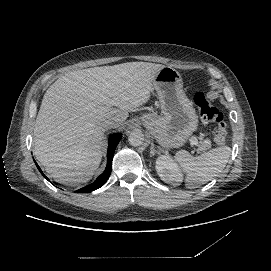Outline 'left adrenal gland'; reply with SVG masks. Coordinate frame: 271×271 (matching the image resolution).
Here are the masks:
<instances>
[{"label":"left adrenal gland","instance_id":"a2214340","mask_svg":"<svg viewBox=\"0 0 271 271\" xmlns=\"http://www.w3.org/2000/svg\"><path fill=\"white\" fill-rule=\"evenodd\" d=\"M155 153L159 154V152H158V151H156V150L154 149L153 144H151V152H150V156H154V155H155Z\"/></svg>","mask_w":271,"mask_h":271}]
</instances>
